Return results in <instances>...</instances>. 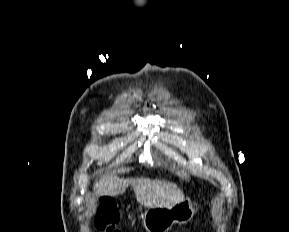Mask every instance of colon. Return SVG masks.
Returning <instances> with one entry per match:
<instances>
[{
    "instance_id": "5ec220e1",
    "label": "colon",
    "mask_w": 289,
    "mask_h": 232,
    "mask_svg": "<svg viewBox=\"0 0 289 232\" xmlns=\"http://www.w3.org/2000/svg\"><path fill=\"white\" fill-rule=\"evenodd\" d=\"M119 211L113 199L102 197L96 209L95 225L100 232H120L117 224Z\"/></svg>"
}]
</instances>
